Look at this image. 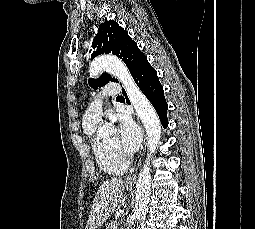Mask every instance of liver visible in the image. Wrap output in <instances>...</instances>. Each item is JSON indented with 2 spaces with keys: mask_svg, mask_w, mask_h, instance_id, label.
<instances>
[{
  "mask_svg": "<svg viewBox=\"0 0 255 229\" xmlns=\"http://www.w3.org/2000/svg\"><path fill=\"white\" fill-rule=\"evenodd\" d=\"M123 188V181L118 178L106 180L101 184L93 200L85 229H97L106 222L119 204L125 202L127 197H123Z\"/></svg>",
  "mask_w": 255,
  "mask_h": 229,
  "instance_id": "obj_1",
  "label": "liver"
}]
</instances>
